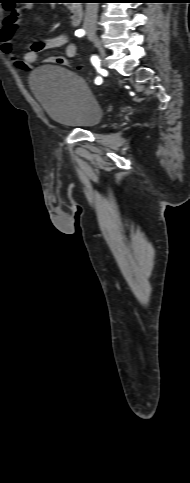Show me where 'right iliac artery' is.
I'll return each instance as SVG.
<instances>
[{"instance_id": "obj_1", "label": "right iliac artery", "mask_w": 190, "mask_h": 483, "mask_svg": "<svg viewBox=\"0 0 190 483\" xmlns=\"http://www.w3.org/2000/svg\"><path fill=\"white\" fill-rule=\"evenodd\" d=\"M84 34H85V31L82 30V29H78L75 32V35L78 36V37H82ZM91 62L96 67V69L98 70V72L101 73L102 72V69L100 68V60H99V58L97 56L93 55L91 57ZM101 82H102L101 77H97L95 79V84L99 85V84H101Z\"/></svg>"}]
</instances>
